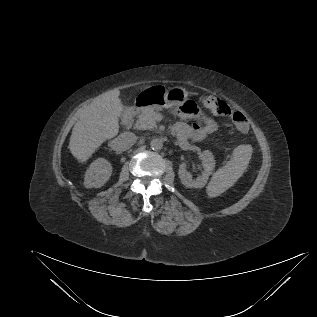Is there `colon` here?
<instances>
[{
    "label": "colon",
    "instance_id": "5ec220e1",
    "mask_svg": "<svg viewBox=\"0 0 317 317\" xmlns=\"http://www.w3.org/2000/svg\"><path fill=\"white\" fill-rule=\"evenodd\" d=\"M200 103L204 108L211 110L217 115L230 117L235 122L238 129H243L246 125L248 126V121L245 116L240 112L234 111L226 102L215 96H202L200 98ZM190 108V103H187L181 110L182 112L187 113L190 112Z\"/></svg>",
    "mask_w": 317,
    "mask_h": 317
}]
</instances>
